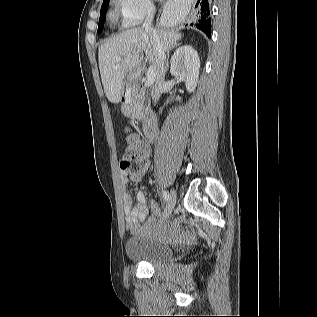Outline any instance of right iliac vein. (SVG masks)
<instances>
[{
  "mask_svg": "<svg viewBox=\"0 0 317 317\" xmlns=\"http://www.w3.org/2000/svg\"><path fill=\"white\" fill-rule=\"evenodd\" d=\"M175 204H176V193L174 190H172L171 195H170V199H169L168 204L166 206V209L164 211L163 219H167L170 216L171 212L174 209Z\"/></svg>",
  "mask_w": 317,
  "mask_h": 317,
  "instance_id": "obj_1",
  "label": "right iliac vein"
}]
</instances>
